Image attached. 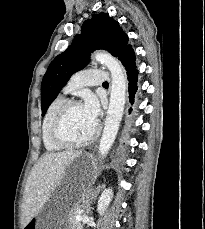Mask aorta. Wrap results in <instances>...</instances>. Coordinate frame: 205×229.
I'll return each mask as SVG.
<instances>
[{
	"label": "aorta",
	"mask_w": 205,
	"mask_h": 229,
	"mask_svg": "<svg viewBox=\"0 0 205 229\" xmlns=\"http://www.w3.org/2000/svg\"><path fill=\"white\" fill-rule=\"evenodd\" d=\"M93 58L107 67L112 78L110 103L99 144V154L104 157L113 145L119 129L125 105L127 81L121 63L111 54L97 51L93 54Z\"/></svg>",
	"instance_id": "762f6f07"
}]
</instances>
